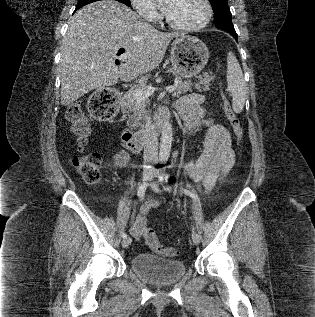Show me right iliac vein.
I'll list each match as a JSON object with an SVG mask.
<instances>
[{
    "label": "right iliac vein",
    "mask_w": 315,
    "mask_h": 317,
    "mask_svg": "<svg viewBox=\"0 0 315 317\" xmlns=\"http://www.w3.org/2000/svg\"><path fill=\"white\" fill-rule=\"evenodd\" d=\"M151 178H152V174L150 172H145L143 174V181L144 182L150 181ZM130 244H131V238L130 237H126L125 239H123L122 246L124 248H127Z\"/></svg>",
    "instance_id": "1"
}]
</instances>
